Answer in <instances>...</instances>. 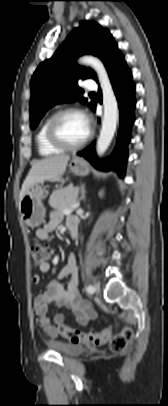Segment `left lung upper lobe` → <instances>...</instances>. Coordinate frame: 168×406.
Masks as SVG:
<instances>
[{"label": "left lung upper lobe", "mask_w": 168, "mask_h": 406, "mask_svg": "<svg viewBox=\"0 0 168 406\" xmlns=\"http://www.w3.org/2000/svg\"><path fill=\"white\" fill-rule=\"evenodd\" d=\"M120 52L109 30L94 21L81 22L48 60L42 62L31 79V128L34 129L44 114L54 105L79 101L90 109L96 105L87 102L78 86L79 79L97 80L93 70L81 67L76 59L83 54L98 56L107 68Z\"/></svg>", "instance_id": "1"}]
</instances>
